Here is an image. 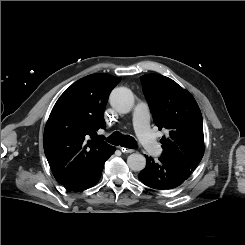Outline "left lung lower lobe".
Wrapping results in <instances>:
<instances>
[{"label": "left lung lower lobe", "mask_w": 245, "mask_h": 245, "mask_svg": "<svg viewBox=\"0 0 245 245\" xmlns=\"http://www.w3.org/2000/svg\"><path fill=\"white\" fill-rule=\"evenodd\" d=\"M146 159V167L140 171L138 179L146 186L156 190L177 188L193 172L164 157H160L158 161H154L152 157L148 156H146Z\"/></svg>", "instance_id": "0a47b994"}]
</instances>
